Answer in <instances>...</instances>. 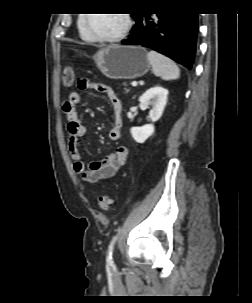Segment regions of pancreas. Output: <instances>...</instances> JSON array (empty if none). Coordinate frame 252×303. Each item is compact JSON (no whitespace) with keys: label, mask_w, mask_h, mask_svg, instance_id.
<instances>
[{"label":"pancreas","mask_w":252,"mask_h":303,"mask_svg":"<svg viewBox=\"0 0 252 303\" xmlns=\"http://www.w3.org/2000/svg\"><path fill=\"white\" fill-rule=\"evenodd\" d=\"M124 86H127V85H126V84H124ZM125 90H126V91H128V89H127V88H125Z\"/></svg>","instance_id":"obj_1"}]
</instances>
